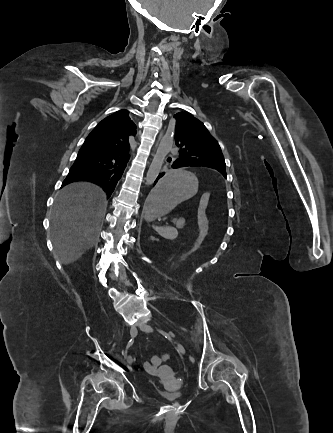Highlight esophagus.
<instances>
[{
  "label": "esophagus",
  "instance_id": "1",
  "mask_svg": "<svg viewBox=\"0 0 333 433\" xmlns=\"http://www.w3.org/2000/svg\"><path fill=\"white\" fill-rule=\"evenodd\" d=\"M157 145H158V141H157L156 145L154 146V151L156 150V148H157Z\"/></svg>",
  "mask_w": 333,
  "mask_h": 433
}]
</instances>
